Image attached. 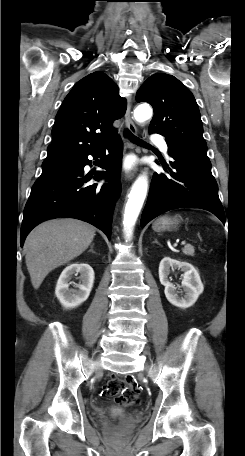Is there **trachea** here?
Here are the masks:
<instances>
[{
	"mask_svg": "<svg viewBox=\"0 0 245 456\" xmlns=\"http://www.w3.org/2000/svg\"><path fill=\"white\" fill-rule=\"evenodd\" d=\"M125 135L127 137H130V139L135 142L136 144H146L144 141L140 140L139 138H137L136 136H134L133 134L130 133V131L126 130L125 131Z\"/></svg>",
	"mask_w": 245,
	"mask_h": 456,
	"instance_id": "3493384b",
	"label": "trachea"
}]
</instances>
